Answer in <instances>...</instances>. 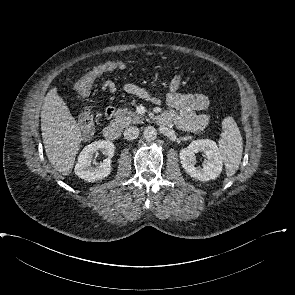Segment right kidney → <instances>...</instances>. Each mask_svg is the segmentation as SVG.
Here are the masks:
<instances>
[{
	"instance_id": "ca27d5eb",
	"label": "right kidney",
	"mask_w": 295,
	"mask_h": 295,
	"mask_svg": "<svg viewBox=\"0 0 295 295\" xmlns=\"http://www.w3.org/2000/svg\"><path fill=\"white\" fill-rule=\"evenodd\" d=\"M114 148V144L107 140H99L87 145L78 156L75 174L88 182L106 178L111 173V158L114 155ZM96 151H102L108 158L97 167H93L91 166L92 157Z\"/></svg>"
}]
</instances>
